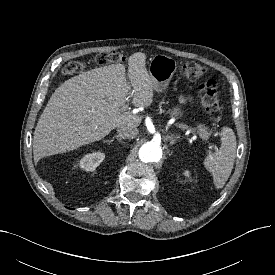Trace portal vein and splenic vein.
<instances>
[{"instance_id": "1", "label": "portal vein and splenic vein", "mask_w": 275, "mask_h": 275, "mask_svg": "<svg viewBox=\"0 0 275 275\" xmlns=\"http://www.w3.org/2000/svg\"><path fill=\"white\" fill-rule=\"evenodd\" d=\"M130 100H131V99H128V101H127V102H130ZM122 109H123V110L130 109V107H129V103H127L126 105H124V106L122 107ZM186 129H188V131H191V130H189V128H186ZM211 145H212L213 147H216V146H217V145H216V144H214V143H211Z\"/></svg>"}]
</instances>
